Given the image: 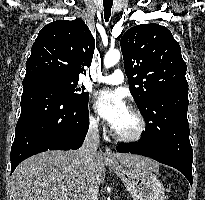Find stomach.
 Segmentation results:
<instances>
[{
  "label": "stomach",
  "mask_w": 205,
  "mask_h": 200,
  "mask_svg": "<svg viewBox=\"0 0 205 200\" xmlns=\"http://www.w3.org/2000/svg\"><path fill=\"white\" fill-rule=\"evenodd\" d=\"M113 172L123 181L133 200H165V188L155 170L149 167H122L111 164Z\"/></svg>",
  "instance_id": "obj_1"
}]
</instances>
